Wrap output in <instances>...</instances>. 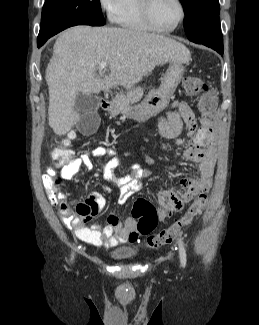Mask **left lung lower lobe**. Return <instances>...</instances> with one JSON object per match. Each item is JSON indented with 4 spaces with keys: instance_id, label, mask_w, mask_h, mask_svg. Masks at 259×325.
I'll list each match as a JSON object with an SVG mask.
<instances>
[{
    "instance_id": "obj_1",
    "label": "left lung lower lobe",
    "mask_w": 259,
    "mask_h": 325,
    "mask_svg": "<svg viewBox=\"0 0 259 325\" xmlns=\"http://www.w3.org/2000/svg\"><path fill=\"white\" fill-rule=\"evenodd\" d=\"M195 43L206 45L223 55V38L221 31L213 32L209 37L200 39Z\"/></svg>"
}]
</instances>
